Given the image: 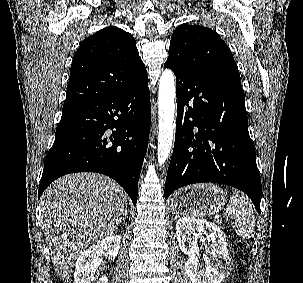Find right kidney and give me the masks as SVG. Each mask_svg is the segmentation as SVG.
Listing matches in <instances>:
<instances>
[{"mask_svg": "<svg viewBox=\"0 0 303 283\" xmlns=\"http://www.w3.org/2000/svg\"><path fill=\"white\" fill-rule=\"evenodd\" d=\"M120 243L119 235H110L82 252L75 264L74 283H92L99 256L106 251L110 258H115L119 252ZM97 283H108V279L106 276H101Z\"/></svg>", "mask_w": 303, "mask_h": 283, "instance_id": "obj_1", "label": "right kidney"}]
</instances>
